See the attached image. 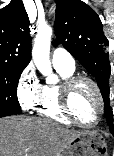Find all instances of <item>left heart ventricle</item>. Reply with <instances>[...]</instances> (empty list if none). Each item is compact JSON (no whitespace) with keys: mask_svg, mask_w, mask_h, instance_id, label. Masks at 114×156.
<instances>
[{"mask_svg":"<svg viewBox=\"0 0 114 156\" xmlns=\"http://www.w3.org/2000/svg\"><path fill=\"white\" fill-rule=\"evenodd\" d=\"M71 107L75 115L86 124L93 122L98 113V100L93 87L82 82L71 95Z\"/></svg>","mask_w":114,"mask_h":156,"instance_id":"b2bd125f","label":"left heart ventricle"}]
</instances>
